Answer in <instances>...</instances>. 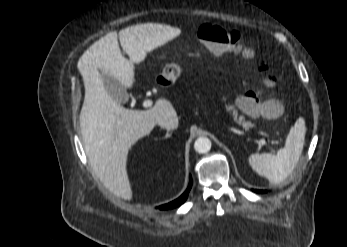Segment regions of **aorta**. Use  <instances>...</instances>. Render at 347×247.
Listing matches in <instances>:
<instances>
[{
  "mask_svg": "<svg viewBox=\"0 0 347 247\" xmlns=\"http://www.w3.org/2000/svg\"><path fill=\"white\" fill-rule=\"evenodd\" d=\"M194 149L199 154L208 153L211 149V141L207 137H199L194 143Z\"/></svg>",
  "mask_w": 347,
  "mask_h": 247,
  "instance_id": "762f6f07",
  "label": "aorta"
}]
</instances>
